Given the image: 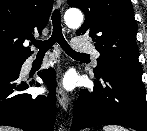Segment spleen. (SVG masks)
Instances as JSON below:
<instances>
[{"mask_svg": "<svg viewBox=\"0 0 147 131\" xmlns=\"http://www.w3.org/2000/svg\"><path fill=\"white\" fill-rule=\"evenodd\" d=\"M103 131H127V130L122 126L108 125L103 127Z\"/></svg>", "mask_w": 147, "mask_h": 131, "instance_id": "obj_1", "label": "spleen"}]
</instances>
